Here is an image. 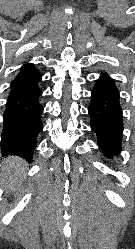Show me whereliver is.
I'll return each instance as SVG.
<instances>
[{
    "label": "liver",
    "mask_w": 135,
    "mask_h": 249,
    "mask_svg": "<svg viewBox=\"0 0 135 249\" xmlns=\"http://www.w3.org/2000/svg\"><path fill=\"white\" fill-rule=\"evenodd\" d=\"M27 164L23 159L17 156H12L4 159V165L0 174V184L6 189V195L14 192L22 182Z\"/></svg>",
    "instance_id": "6515ba94"
}]
</instances>
